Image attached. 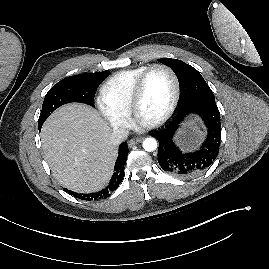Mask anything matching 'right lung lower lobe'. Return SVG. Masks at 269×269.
<instances>
[{
  "label": "right lung lower lobe",
  "mask_w": 269,
  "mask_h": 269,
  "mask_svg": "<svg viewBox=\"0 0 269 269\" xmlns=\"http://www.w3.org/2000/svg\"><path fill=\"white\" fill-rule=\"evenodd\" d=\"M39 129H41V127H39ZM127 155H128V146L126 142H123L119 147V155L115 163L113 176L109 184L101 191L89 194H81L67 189L64 190L69 194L73 195L74 197H78L80 199L88 201L107 198L113 191H115L118 188L119 184L121 183L124 177V165L126 164Z\"/></svg>",
  "instance_id": "98d812e1"
}]
</instances>
